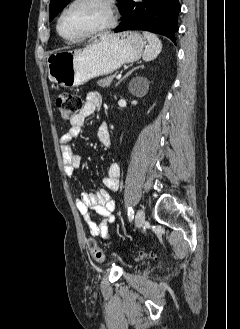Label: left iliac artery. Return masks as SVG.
<instances>
[{
    "label": "left iliac artery",
    "mask_w": 240,
    "mask_h": 329,
    "mask_svg": "<svg viewBox=\"0 0 240 329\" xmlns=\"http://www.w3.org/2000/svg\"><path fill=\"white\" fill-rule=\"evenodd\" d=\"M128 218H129V221H132L134 218V211H133L132 207H128Z\"/></svg>",
    "instance_id": "left-iliac-artery-1"
}]
</instances>
